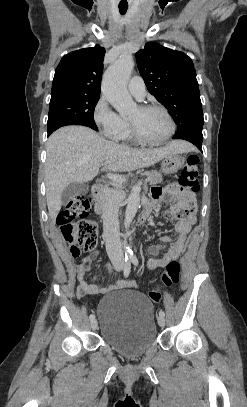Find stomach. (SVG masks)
I'll return each mask as SVG.
<instances>
[{"instance_id":"obj_1","label":"stomach","mask_w":247,"mask_h":407,"mask_svg":"<svg viewBox=\"0 0 247 407\" xmlns=\"http://www.w3.org/2000/svg\"><path fill=\"white\" fill-rule=\"evenodd\" d=\"M184 164L185 158L180 153L168 155L162 161V172L165 174H173L181 169Z\"/></svg>"}]
</instances>
